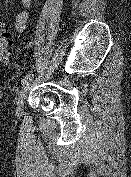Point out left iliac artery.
Segmentation results:
<instances>
[{
  "label": "left iliac artery",
  "mask_w": 131,
  "mask_h": 177,
  "mask_svg": "<svg viewBox=\"0 0 131 177\" xmlns=\"http://www.w3.org/2000/svg\"><path fill=\"white\" fill-rule=\"evenodd\" d=\"M34 76L33 73H28L27 75H25L23 77V79L21 80V83L24 85L25 83H27L28 81L32 80V77Z\"/></svg>",
  "instance_id": "44dca946"
}]
</instances>
